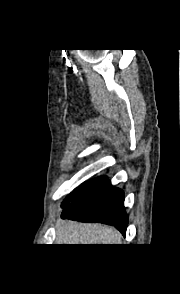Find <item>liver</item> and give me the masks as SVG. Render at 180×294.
Masks as SVG:
<instances>
[{"label":"liver","instance_id":"6515ba94","mask_svg":"<svg viewBox=\"0 0 180 294\" xmlns=\"http://www.w3.org/2000/svg\"><path fill=\"white\" fill-rule=\"evenodd\" d=\"M56 244H121V235L113 227L59 219Z\"/></svg>","mask_w":180,"mask_h":294}]
</instances>
